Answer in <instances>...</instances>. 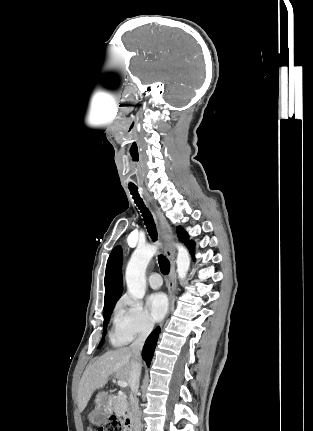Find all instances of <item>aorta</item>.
<instances>
[{
  "label": "aorta",
  "instance_id": "obj_1",
  "mask_svg": "<svg viewBox=\"0 0 313 431\" xmlns=\"http://www.w3.org/2000/svg\"><path fill=\"white\" fill-rule=\"evenodd\" d=\"M178 250L177 255V273L180 279L187 276L190 267V256L188 250L181 244H176ZM157 245H147L138 247L132 254L126 268V283L128 292L135 299H142L146 292V268L157 252Z\"/></svg>",
  "mask_w": 313,
  "mask_h": 431
}]
</instances>
